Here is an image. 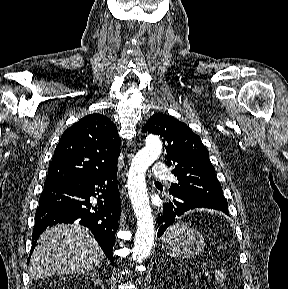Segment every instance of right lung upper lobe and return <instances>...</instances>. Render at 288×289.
I'll list each match as a JSON object with an SVG mask.
<instances>
[{"label": "right lung upper lobe", "instance_id": "cb5924a9", "mask_svg": "<svg viewBox=\"0 0 288 289\" xmlns=\"http://www.w3.org/2000/svg\"><path fill=\"white\" fill-rule=\"evenodd\" d=\"M121 139L115 124L101 114L79 120L62 135L44 186L90 176L117 165Z\"/></svg>", "mask_w": 288, "mask_h": 289}]
</instances>
